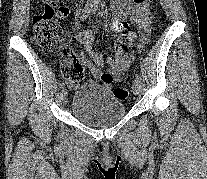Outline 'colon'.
I'll use <instances>...</instances> for the list:
<instances>
[{
  "instance_id": "obj_1",
  "label": "colon",
  "mask_w": 207,
  "mask_h": 179,
  "mask_svg": "<svg viewBox=\"0 0 207 179\" xmlns=\"http://www.w3.org/2000/svg\"><path fill=\"white\" fill-rule=\"evenodd\" d=\"M59 0H45L41 9L33 16V32L40 47L50 48L56 35V27L53 22L55 12L58 10ZM138 5H145L149 0H134ZM63 78L70 83H78L84 77V68L75 53L65 50L63 54V66L61 69ZM111 80L104 76L102 81L107 83ZM119 98L125 100L129 97L128 88L119 87L113 91Z\"/></svg>"
}]
</instances>
